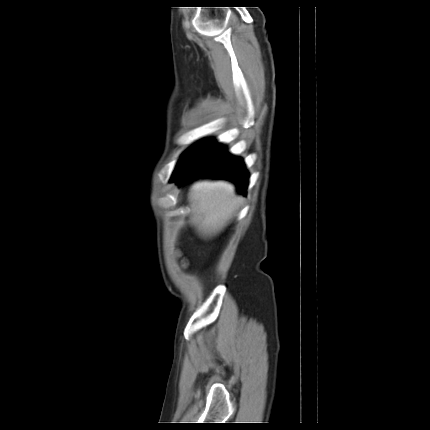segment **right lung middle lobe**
Masks as SVG:
<instances>
[{
	"mask_svg": "<svg viewBox=\"0 0 430 430\" xmlns=\"http://www.w3.org/2000/svg\"><path fill=\"white\" fill-rule=\"evenodd\" d=\"M214 144V141L205 140L190 148L178 163L175 173L179 172L182 168L192 164L201 155H203L206 151L212 148Z\"/></svg>",
	"mask_w": 430,
	"mask_h": 430,
	"instance_id": "1",
	"label": "right lung middle lobe"
}]
</instances>
